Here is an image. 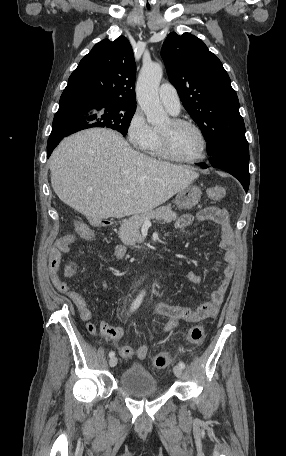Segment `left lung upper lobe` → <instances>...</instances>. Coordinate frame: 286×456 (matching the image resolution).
Here are the masks:
<instances>
[{"mask_svg": "<svg viewBox=\"0 0 286 456\" xmlns=\"http://www.w3.org/2000/svg\"><path fill=\"white\" fill-rule=\"evenodd\" d=\"M161 56L184 108L199 125L207 153L228 146H248L239 101L221 61L190 33H170Z\"/></svg>", "mask_w": 286, "mask_h": 456, "instance_id": "1", "label": "left lung upper lobe"}]
</instances>
